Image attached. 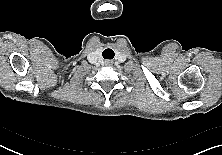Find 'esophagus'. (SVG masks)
Returning <instances> with one entry per match:
<instances>
[{
    "instance_id": "1",
    "label": "esophagus",
    "mask_w": 222,
    "mask_h": 155,
    "mask_svg": "<svg viewBox=\"0 0 222 155\" xmlns=\"http://www.w3.org/2000/svg\"><path fill=\"white\" fill-rule=\"evenodd\" d=\"M111 64H112V62H110V61L106 62V65H108V66H110Z\"/></svg>"
}]
</instances>
